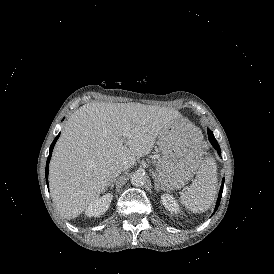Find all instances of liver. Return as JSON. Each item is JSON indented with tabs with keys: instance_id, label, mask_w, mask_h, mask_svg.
<instances>
[{
	"instance_id": "1",
	"label": "liver",
	"mask_w": 274,
	"mask_h": 274,
	"mask_svg": "<svg viewBox=\"0 0 274 274\" xmlns=\"http://www.w3.org/2000/svg\"><path fill=\"white\" fill-rule=\"evenodd\" d=\"M186 122L168 107L138 102H89L63 125L49 166L54 204L67 219L82 215L139 158L149 155L160 138L178 133Z\"/></svg>"
}]
</instances>
